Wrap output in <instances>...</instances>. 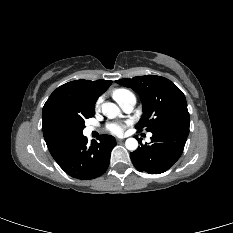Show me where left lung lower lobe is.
Listing matches in <instances>:
<instances>
[{"instance_id": "1", "label": "left lung lower lobe", "mask_w": 233, "mask_h": 233, "mask_svg": "<svg viewBox=\"0 0 233 233\" xmlns=\"http://www.w3.org/2000/svg\"><path fill=\"white\" fill-rule=\"evenodd\" d=\"M152 134L151 144L142 145L130 153V158L138 171L160 174L172 167L181 156L189 125L173 126Z\"/></svg>"}]
</instances>
